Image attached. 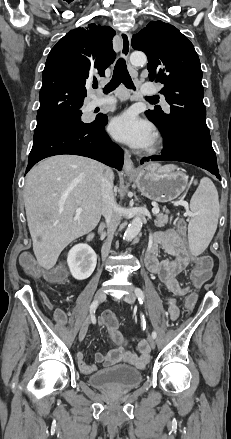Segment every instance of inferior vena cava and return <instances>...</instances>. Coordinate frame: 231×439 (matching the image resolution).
Segmentation results:
<instances>
[{
  "mask_svg": "<svg viewBox=\"0 0 231 439\" xmlns=\"http://www.w3.org/2000/svg\"><path fill=\"white\" fill-rule=\"evenodd\" d=\"M116 208L111 171L107 168L101 177V212L107 226V240L101 249L102 260H105L110 252L111 242L119 223Z\"/></svg>",
  "mask_w": 231,
  "mask_h": 439,
  "instance_id": "obj_1",
  "label": "inferior vena cava"
}]
</instances>
